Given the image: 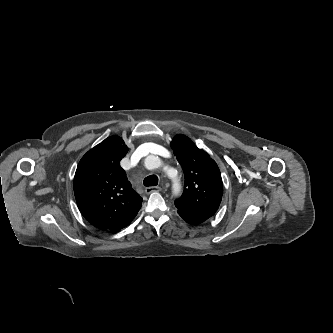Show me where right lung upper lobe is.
Listing matches in <instances>:
<instances>
[{
  "label": "right lung upper lobe",
  "instance_id": "1",
  "mask_svg": "<svg viewBox=\"0 0 333 333\" xmlns=\"http://www.w3.org/2000/svg\"><path fill=\"white\" fill-rule=\"evenodd\" d=\"M128 148L111 136L88 151L74 177V194L83 217L101 230L119 231L128 226L142 205L119 162Z\"/></svg>",
  "mask_w": 333,
  "mask_h": 333
}]
</instances>
